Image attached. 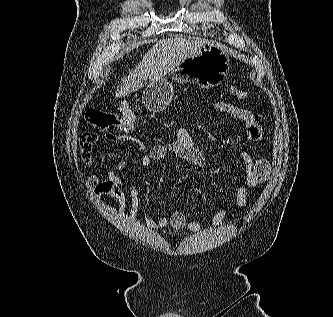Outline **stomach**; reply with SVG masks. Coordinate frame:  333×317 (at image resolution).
I'll return each mask as SVG.
<instances>
[{"instance_id":"1","label":"stomach","mask_w":333,"mask_h":317,"mask_svg":"<svg viewBox=\"0 0 333 317\" xmlns=\"http://www.w3.org/2000/svg\"><path fill=\"white\" fill-rule=\"evenodd\" d=\"M230 70L227 53L210 42L203 44L197 54L173 70L176 81L192 78L199 86L208 88L219 85ZM174 95L173 84L165 78L152 80L143 91L142 103L151 112H161L171 102Z\"/></svg>"}]
</instances>
